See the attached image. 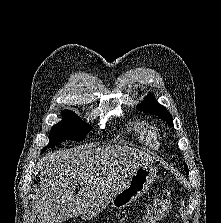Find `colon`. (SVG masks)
<instances>
[{
  "instance_id": "obj_1",
  "label": "colon",
  "mask_w": 221,
  "mask_h": 223,
  "mask_svg": "<svg viewBox=\"0 0 221 223\" xmlns=\"http://www.w3.org/2000/svg\"><path fill=\"white\" fill-rule=\"evenodd\" d=\"M171 205V200L168 195L155 199L147 205L135 223H159L170 212Z\"/></svg>"
}]
</instances>
